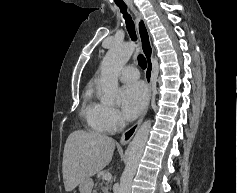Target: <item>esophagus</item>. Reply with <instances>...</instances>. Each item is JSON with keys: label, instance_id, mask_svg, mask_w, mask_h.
I'll use <instances>...</instances> for the list:
<instances>
[{"label": "esophagus", "instance_id": "34e87169", "mask_svg": "<svg viewBox=\"0 0 237 193\" xmlns=\"http://www.w3.org/2000/svg\"><path fill=\"white\" fill-rule=\"evenodd\" d=\"M131 11L133 12L136 24H137V31L140 39L141 49L145 55L146 61H147V69L145 72V80L146 84L148 86V102L146 105V108L144 109L141 117L139 120L130 128H128L126 131L123 132L120 143L121 144H127L130 142V140L133 138L134 134L136 133L137 129L139 128L144 116L146 115L149 107V101L152 94V75H153V47L151 44L150 34L146 25V22L142 15L134 8L131 7Z\"/></svg>", "mask_w": 237, "mask_h": 193}]
</instances>
